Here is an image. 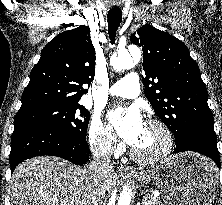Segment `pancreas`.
<instances>
[{
	"label": "pancreas",
	"mask_w": 222,
	"mask_h": 205,
	"mask_svg": "<svg viewBox=\"0 0 222 205\" xmlns=\"http://www.w3.org/2000/svg\"><path fill=\"white\" fill-rule=\"evenodd\" d=\"M143 203L144 205H163L159 198L153 196H145Z\"/></svg>",
	"instance_id": "1"
}]
</instances>
